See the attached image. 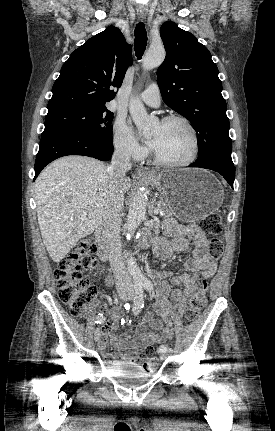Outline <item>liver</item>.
<instances>
[{"label": "liver", "instance_id": "liver-1", "mask_svg": "<svg viewBox=\"0 0 275 431\" xmlns=\"http://www.w3.org/2000/svg\"><path fill=\"white\" fill-rule=\"evenodd\" d=\"M107 168L96 159L71 155L51 163L36 179L38 223L54 262L100 226L110 190ZM130 187L131 179L124 178L123 192Z\"/></svg>", "mask_w": 275, "mask_h": 431}]
</instances>
